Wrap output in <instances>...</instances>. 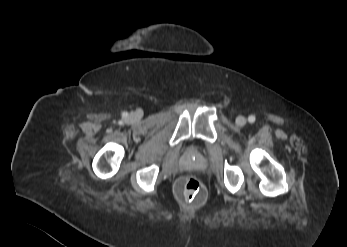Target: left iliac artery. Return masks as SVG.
Wrapping results in <instances>:
<instances>
[{
  "label": "left iliac artery",
  "instance_id": "1",
  "mask_svg": "<svg viewBox=\"0 0 347 247\" xmlns=\"http://www.w3.org/2000/svg\"><path fill=\"white\" fill-rule=\"evenodd\" d=\"M255 116H253V115H250L249 117H248V121L250 122V123H254L255 122Z\"/></svg>",
  "mask_w": 347,
  "mask_h": 247
}]
</instances>
